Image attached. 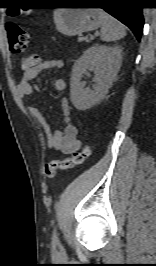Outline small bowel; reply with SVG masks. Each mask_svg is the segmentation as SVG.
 I'll use <instances>...</instances> for the list:
<instances>
[{
	"mask_svg": "<svg viewBox=\"0 0 156 266\" xmlns=\"http://www.w3.org/2000/svg\"><path fill=\"white\" fill-rule=\"evenodd\" d=\"M62 67V61L58 58H50L40 63L39 65L28 69L24 72L21 82L18 84V93L21 97L30 96L36 88L32 83L33 80L41 71L59 69ZM65 81L62 78H56L54 87L58 91L65 89ZM61 115L64 125L52 131L40 109L36 106L28 108L29 114L34 117L45 135L46 144L49 149L61 151L64 154H72L79 150L81 146L80 140L77 138V129L71 123V108L66 98H61L60 101Z\"/></svg>",
	"mask_w": 156,
	"mask_h": 266,
	"instance_id": "small-bowel-1",
	"label": "small bowel"
}]
</instances>
